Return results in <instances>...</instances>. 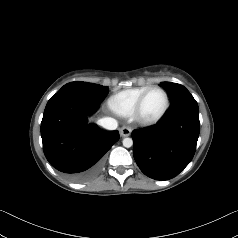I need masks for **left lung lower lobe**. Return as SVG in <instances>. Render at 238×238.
Listing matches in <instances>:
<instances>
[{"label": "left lung lower lobe", "mask_w": 238, "mask_h": 238, "mask_svg": "<svg viewBox=\"0 0 238 238\" xmlns=\"http://www.w3.org/2000/svg\"><path fill=\"white\" fill-rule=\"evenodd\" d=\"M199 130L198 104L186 93L172 102L158 124L132 132L137 165L156 180L177 176L194 156Z\"/></svg>", "instance_id": "1"}]
</instances>
